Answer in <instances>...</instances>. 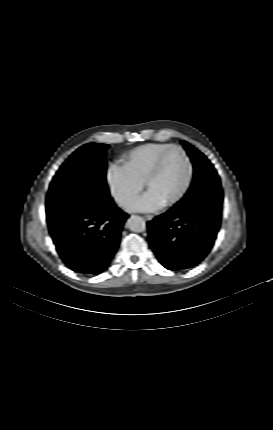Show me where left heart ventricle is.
<instances>
[{"mask_svg": "<svg viewBox=\"0 0 273 430\" xmlns=\"http://www.w3.org/2000/svg\"><path fill=\"white\" fill-rule=\"evenodd\" d=\"M187 174L188 169L182 154L178 151H171L164 160L161 172L152 180L148 189L153 191L165 204L182 189Z\"/></svg>", "mask_w": 273, "mask_h": 430, "instance_id": "1", "label": "left heart ventricle"}]
</instances>
